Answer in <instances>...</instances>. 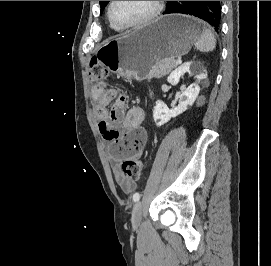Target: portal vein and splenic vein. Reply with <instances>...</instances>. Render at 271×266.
Listing matches in <instances>:
<instances>
[{
  "label": "portal vein and splenic vein",
  "mask_w": 271,
  "mask_h": 266,
  "mask_svg": "<svg viewBox=\"0 0 271 266\" xmlns=\"http://www.w3.org/2000/svg\"><path fill=\"white\" fill-rule=\"evenodd\" d=\"M182 63V60L181 59H178L177 61H176V64H181Z\"/></svg>",
  "instance_id": "1"
}]
</instances>
